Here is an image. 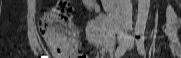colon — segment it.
I'll return each instance as SVG.
<instances>
[{
  "instance_id": "obj_1",
  "label": "colon",
  "mask_w": 181,
  "mask_h": 58,
  "mask_svg": "<svg viewBox=\"0 0 181 58\" xmlns=\"http://www.w3.org/2000/svg\"><path fill=\"white\" fill-rule=\"evenodd\" d=\"M40 32L54 54L86 58L75 50L77 30L72 22V8L68 1L57 2L44 13L40 21Z\"/></svg>"
}]
</instances>
